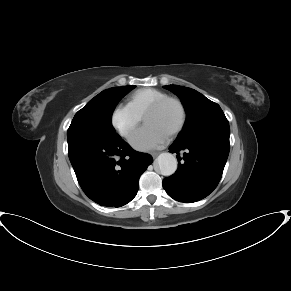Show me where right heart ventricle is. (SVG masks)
I'll return each instance as SVG.
<instances>
[{"instance_id":"1","label":"right heart ventricle","mask_w":291,"mask_h":291,"mask_svg":"<svg viewBox=\"0 0 291 291\" xmlns=\"http://www.w3.org/2000/svg\"><path fill=\"white\" fill-rule=\"evenodd\" d=\"M167 96L165 92L155 88L138 89L130 95L129 105L142 116L149 105Z\"/></svg>"}]
</instances>
